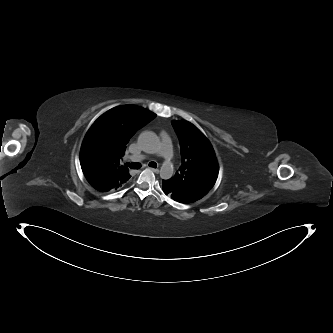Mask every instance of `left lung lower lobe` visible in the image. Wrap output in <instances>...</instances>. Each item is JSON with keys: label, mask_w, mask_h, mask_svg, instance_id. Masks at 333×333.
<instances>
[{"label": "left lung lower lobe", "mask_w": 333, "mask_h": 333, "mask_svg": "<svg viewBox=\"0 0 333 333\" xmlns=\"http://www.w3.org/2000/svg\"><path fill=\"white\" fill-rule=\"evenodd\" d=\"M162 183H163L162 190L167 196L171 197L173 200L180 203H191L190 201L180 196L177 192L171 191L169 179L163 180Z\"/></svg>", "instance_id": "obj_1"}]
</instances>
